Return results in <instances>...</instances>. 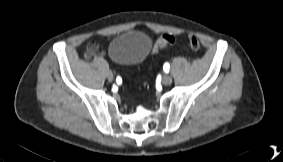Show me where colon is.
Instances as JSON below:
<instances>
[{
	"label": "colon",
	"instance_id": "colon-1",
	"mask_svg": "<svg viewBox=\"0 0 283 162\" xmlns=\"http://www.w3.org/2000/svg\"><path fill=\"white\" fill-rule=\"evenodd\" d=\"M175 42V37L171 34H163L158 37L154 43V50L159 51L166 47L173 45ZM188 44L192 49H198L200 46L199 40L196 36L190 35L188 38Z\"/></svg>",
	"mask_w": 283,
	"mask_h": 162
}]
</instances>
